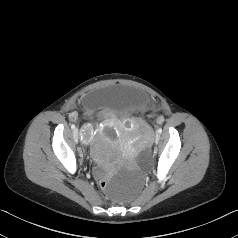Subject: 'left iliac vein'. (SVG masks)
<instances>
[{
    "label": "left iliac vein",
    "mask_w": 238,
    "mask_h": 238,
    "mask_svg": "<svg viewBox=\"0 0 238 238\" xmlns=\"http://www.w3.org/2000/svg\"><path fill=\"white\" fill-rule=\"evenodd\" d=\"M159 139H160V134L159 133H156L155 135V142H156V145H159Z\"/></svg>",
    "instance_id": "1"
}]
</instances>
